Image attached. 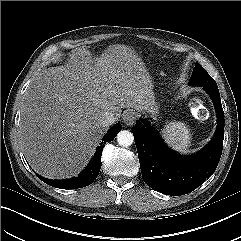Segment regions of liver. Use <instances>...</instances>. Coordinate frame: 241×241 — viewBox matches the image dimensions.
Returning a JSON list of instances; mask_svg holds the SVG:
<instances>
[{"label":"liver","instance_id":"liver-1","mask_svg":"<svg viewBox=\"0 0 241 241\" xmlns=\"http://www.w3.org/2000/svg\"><path fill=\"white\" fill-rule=\"evenodd\" d=\"M152 79L133 49L110 45L96 58L72 54L66 65L38 72L24 95L19 133L30 166L49 179L76 176L107 131L106 112L149 110Z\"/></svg>","mask_w":241,"mask_h":241}]
</instances>
